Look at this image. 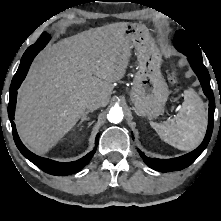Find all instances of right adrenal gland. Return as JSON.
Returning a JSON list of instances; mask_svg holds the SVG:
<instances>
[{"label": "right adrenal gland", "mask_w": 221, "mask_h": 221, "mask_svg": "<svg viewBox=\"0 0 221 221\" xmlns=\"http://www.w3.org/2000/svg\"><path fill=\"white\" fill-rule=\"evenodd\" d=\"M93 111L92 110H87L84 114H83V116H82V118H81V120H80V122H79V125H81L84 121H88L90 118L87 116L89 113H92Z\"/></svg>", "instance_id": "right-adrenal-gland-1"}]
</instances>
